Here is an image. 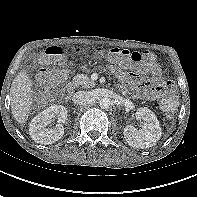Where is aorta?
<instances>
[{
  "label": "aorta",
  "mask_w": 197,
  "mask_h": 197,
  "mask_svg": "<svg viewBox=\"0 0 197 197\" xmlns=\"http://www.w3.org/2000/svg\"><path fill=\"white\" fill-rule=\"evenodd\" d=\"M99 105L102 109H108L111 106V100L108 97H102L99 100Z\"/></svg>",
  "instance_id": "aorta-1"
}]
</instances>
